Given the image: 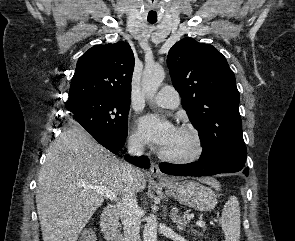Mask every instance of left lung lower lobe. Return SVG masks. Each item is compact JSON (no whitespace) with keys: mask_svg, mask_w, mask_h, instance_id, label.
I'll use <instances>...</instances> for the list:
<instances>
[{"mask_svg":"<svg viewBox=\"0 0 295 241\" xmlns=\"http://www.w3.org/2000/svg\"><path fill=\"white\" fill-rule=\"evenodd\" d=\"M159 168L163 173L179 176H209L220 173L243 172L249 174V168L245 161L228 157L200 158L198 161L188 164H170L162 162Z\"/></svg>","mask_w":295,"mask_h":241,"instance_id":"obj_1","label":"left lung lower lobe"}]
</instances>
